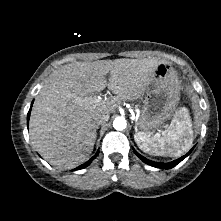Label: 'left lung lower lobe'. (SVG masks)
I'll return each mask as SVG.
<instances>
[{
    "label": "left lung lower lobe",
    "mask_w": 221,
    "mask_h": 221,
    "mask_svg": "<svg viewBox=\"0 0 221 221\" xmlns=\"http://www.w3.org/2000/svg\"><path fill=\"white\" fill-rule=\"evenodd\" d=\"M194 148V147H193ZM193 148L184 156L180 157L179 159H176L170 163H157V162H153L143 156H141L138 152H136L134 150V153L146 164L156 167V168H160V169H171L173 167H175L177 164H179L183 159H185L193 150Z\"/></svg>",
    "instance_id": "1"
}]
</instances>
